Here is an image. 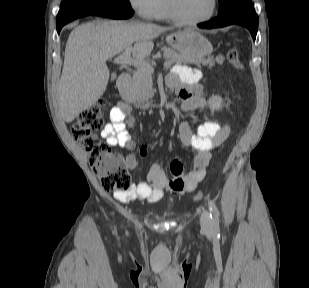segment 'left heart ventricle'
<instances>
[{"label":"left heart ventricle","mask_w":309,"mask_h":288,"mask_svg":"<svg viewBox=\"0 0 309 288\" xmlns=\"http://www.w3.org/2000/svg\"><path fill=\"white\" fill-rule=\"evenodd\" d=\"M176 12L185 19L195 20L209 14L212 0H173Z\"/></svg>","instance_id":"left-heart-ventricle-1"}]
</instances>
